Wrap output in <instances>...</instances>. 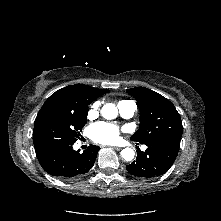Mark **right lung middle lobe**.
<instances>
[{"mask_svg":"<svg viewBox=\"0 0 221 221\" xmlns=\"http://www.w3.org/2000/svg\"><path fill=\"white\" fill-rule=\"evenodd\" d=\"M88 104L69 107L62 99H47L33 131L35 152L58 144H73L87 122Z\"/></svg>","mask_w":221,"mask_h":221,"instance_id":"dd1d6c3e","label":"right lung middle lobe"}]
</instances>
